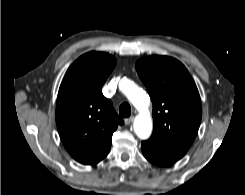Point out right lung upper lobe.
<instances>
[{
    "mask_svg": "<svg viewBox=\"0 0 245 195\" xmlns=\"http://www.w3.org/2000/svg\"><path fill=\"white\" fill-rule=\"evenodd\" d=\"M116 65L114 56L89 52L67 70L56 103L62 143L78 162L93 165L110 151L113 132L123 120L101 88Z\"/></svg>",
    "mask_w": 245,
    "mask_h": 195,
    "instance_id": "right-lung-upper-lobe-1",
    "label": "right lung upper lobe"
}]
</instances>
